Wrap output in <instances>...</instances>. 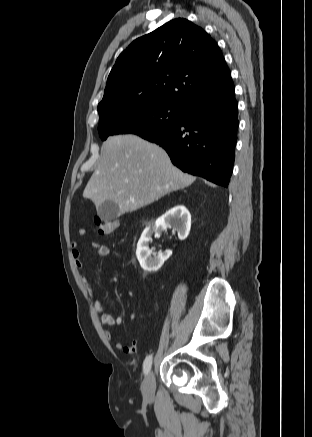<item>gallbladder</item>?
Masks as SVG:
<instances>
[{"label": "gallbladder", "instance_id": "gallbladder-1", "mask_svg": "<svg viewBox=\"0 0 312 437\" xmlns=\"http://www.w3.org/2000/svg\"><path fill=\"white\" fill-rule=\"evenodd\" d=\"M98 216L104 221H112L120 216L119 206L111 200H106L97 207Z\"/></svg>", "mask_w": 312, "mask_h": 437}]
</instances>
